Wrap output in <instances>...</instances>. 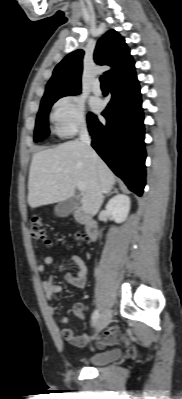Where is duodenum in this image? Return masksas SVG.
<instances>
[{"label":"duodenum","mask_w":182,"mask_h":399,"mask_svg":"<svg viewBox=\"0 0 182 399\" xmlns=\"http://www.w3.org/2000/svg\"><path fill=\"white\" fill-rule=\"evenodd\" d=\"M76 215L80 221L84 223L85 232L90 242H94L98 236V225L95 221L89 218L88 213L82 209L78 208L76 210Z\"/></svg>","instance_id":"duodenum-1"}]
</instances>
